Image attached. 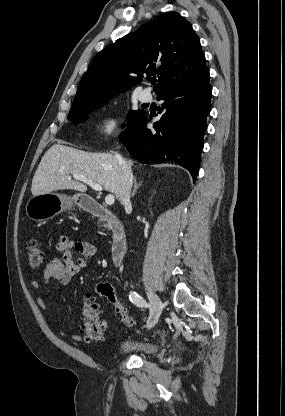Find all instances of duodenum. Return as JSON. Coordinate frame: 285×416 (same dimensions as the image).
<instances>
[{
  "mask_svg": "<svg viewBox=\"0 0 285 416\" xmlns=\"http://www.w3.org/2000/svg\"><path fill=\"white\" fill-rule=\"evenodd\" d=\"M79 205L84 206L88 212L104 219L111 226V259L114 267H119L126 255L128 240L125 231L118 223L115 215L105 206L98 203L97 197H89L88 193H79Z\"/></svg>",
  "mask_w": 285,
  "mask_h": 416,
  "instance_id": "duodenum-1",
  "label": "duodenum"
}]
</instances>
